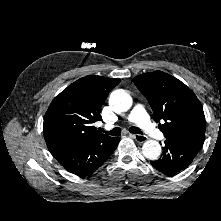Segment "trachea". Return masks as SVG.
Listing matches in <instances>:
<instances>
[{
    "label": "trachea",
    "instance_id": "3493384b",
    "mask_svg": "<svg viewBox=\"0 0 221 221\" xmlns=\"http://www.w3.org/2000/svg\"><path fill=\"white\" fill-rule=\"evenodd\" d=\"M100 131L104 132L108 135H111V136H119L121 134V129L119 127H116L114 129H112L111 131H105L103 129H101ZM129 131L133 134H143L139 128L134 127V126L130 127Z\"/></svg>",
    "mask_w": 221,
    "mask_h": 221
}]
</instances>
